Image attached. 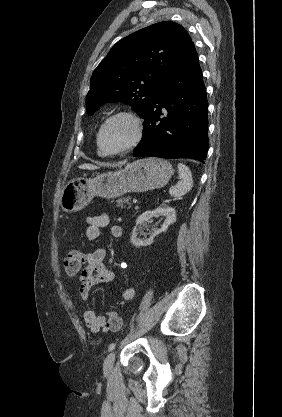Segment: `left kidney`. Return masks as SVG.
<instances>
[{
	"label": "left kidney",
	"instance_id": "obj_1",
	"mask_svg": "<svg viewBox=\"0 0 282 417\" xmlns=\"http://www.w3.org/2000/svg\"><path fill=\"white\" fill-rule=\"evenodd\" d=\"M160 215L166 217L163 225H161V229H152L151 237H149V239H138V229L146 227L148 223H152V217H160ZM176 219L177 217L175 209H172V206H168L166 202H162V204L157 206V209H154V211H145V213H142V215L138 217L136 221V227H134L132 231V245H134V247H148V245H152L154 237H157V235H160V233H163V231H167L170 225L176 223Z\"/></svg>",
	"mask_w": 282,
	"mask_h": 417
}]
</instances>
